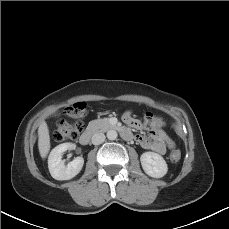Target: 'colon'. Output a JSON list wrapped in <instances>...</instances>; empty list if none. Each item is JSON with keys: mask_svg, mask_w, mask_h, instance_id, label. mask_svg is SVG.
Returning a JSON list of instances; mask_svg holds the SVG:
<instances>
[{"mask_svg": "<svg viewBox=\"0 0 229 229\" xmlns=\"http://www.w3.org/2000/svg\"><path fill=\"white\" fill-rule=\"evenodd\" d=\"M70 121L66 119L58 120L53 130V140L56 142H62L75 139L77 134L82 131L84 126V118L86 116V105L83 102H78L68 107L66 110ZM145 126L148 129H153L154 123L152 119L145 120ZM181 159L180 150L172 146L170 154V160L173 163L179 162Z\"/></svg>", "mask_w": 229, "mask_h": 229, "instance_id": "colon-1", "label": "colon"}]
</instances>
